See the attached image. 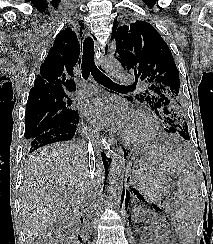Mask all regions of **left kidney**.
Here are the masks:
<instances>
[{"label": "left kidney", "mask_w": 213, "mask_h": 244, "mask_svg": "<svg viewBox=\"0 0 213 244\" xmlns=\"http://www.w3.org/2000/svg\"><path fill=\"white\" fill-rule=\"evenodd\" d=\"M148 214V210L142 207H135L133 217L138 221H142L146 218ZM152 223L154 225V229L153 233H151V244H169V238L166 232V228L163 226L160 219H158L156 216H153Z\"/></svg>", "instance_id": "left-kidney-1"}]
</instances>
